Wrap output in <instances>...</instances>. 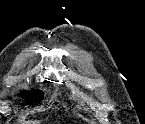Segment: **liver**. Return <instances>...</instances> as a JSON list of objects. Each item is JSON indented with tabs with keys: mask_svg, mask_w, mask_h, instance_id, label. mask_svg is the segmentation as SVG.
Instances as JSON below:
<instances>
[{
	"mask_svg": "<svg viewBox=\"0 0 145 124\" xmlns=\"http://www.w3.org/2000/svg\"><path fill=\"white\" fill-rule=\"evenodd\" d=\"M28 124H30V123H28ZM33 124H39L38 122H34Z\"/></svg>",
	"mask_w": 145,
	"mask_h": 124,
	"instance_id": "1",
	"label": "liver"
}]
</instances>
